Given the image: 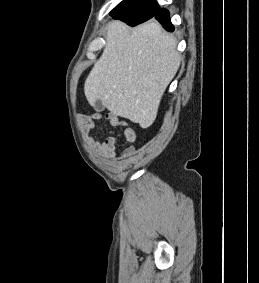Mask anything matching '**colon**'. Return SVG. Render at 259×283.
<instances>
[{"label": "colon", "mask_w": 259, "mask_h": 283, "mask_svg": "<svg viewBox=\"0 0 259 283\" xmlns=\"http://www.w3.org/2000/svg\"><path fill=\"white\" fill-rule=\"evenodd\" d=\"M131 152H132V149L129 148V149L127 150V154H131Z\"/></svg>", "instance_id": "1"}]
</instances>
